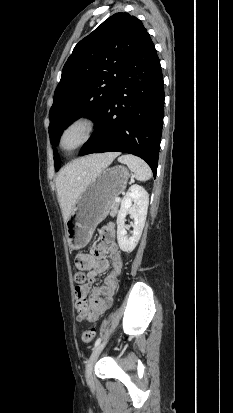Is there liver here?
I'll use <instances>...</instances> for the list:
<instances>
[{
	"mask_svg": "<svg viewBox=\"0 0 233 413\" xmlns=\"http://www.w3.org/2000/svg\"><path fill=\"white\" fill-rule=\"evenodd\" d=\"M118 155L119 153H105L79 158L60 171L56 177V188L64 222H67L85 187Z\"/></svg>",
	"mask_w": 233,
	"mask_h": 413,
	"instance_id": "6515ba94",
	"label": "liver"
}]
</instances>
